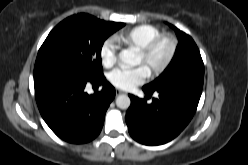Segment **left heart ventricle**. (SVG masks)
<instances>
[{
  "mask_svg": "<svg viewBox=\"0 0 248 165\" xmlns=\"http://www.w3.org/2000/svg\"><path fill=\"white\" fill-rule=\"evenodd\" d=\"M167 52V46L165 44H162L161 46L158 47V49L156 50L154 56H153V61L154 62H159L163 59V57L165 56ZM139 63L141 64H145L149 69L151 67V65L149 63H147L143 57L142 54H140L139 56Z\"/></svg>",
  "mask_w": 248,
  "mask_h": 165,
  "instance_id": "b2bd125f",
  "label": "left heart ventricle"
}]
</instances>
